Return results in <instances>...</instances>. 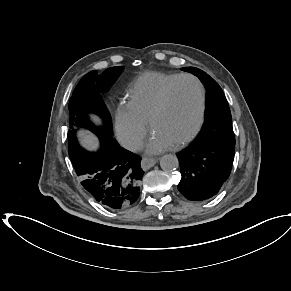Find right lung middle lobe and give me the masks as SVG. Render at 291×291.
<instances>
[{
	"instance_id": "dd1d6c3e",
	"label": "right lung middle lobe",
	"mask_w": 291,
	"mask_h": 291,
	"mask_svg": "<svg viewBox=\"0 0 291 291\" xmlns=\"http://www.w3.org/2000/svg\"><path fill=\"white\" fill-rule=\"evenodd\" d=\"M121 71V67H112L99 76L97 71H91L74 89L69 102V123L72 128L68 132L69 151L79 146L76 139V131L79 128L88 129L99 138L112 134L111 118L104 107L101 93L109 89ZM90 114L98 115L103 121V126L94 125Z\"/></svg>"
}]
</instances>
